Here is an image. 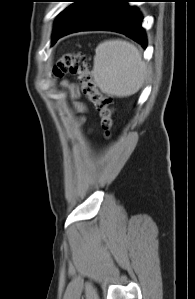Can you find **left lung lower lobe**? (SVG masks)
Segmentation results:
<instances>
[{
    "label": "left lung lower lobe",
    "mask_w": 195,
    "mask_h": 299,
    "mask_svg": "<svg viewBox=\"0 0 195 299\" xmlns=\"http://www.w3.org/2000/svg\"><path fill=\"white\" fill-rule=\"evenodd\" d=\"M134 0H88L78 16L67 26L53 34L52 44L60 37L78 31L108 30L132 38L146 48L142 16L128 3Z\"/></svg>",
    "instance_id": "0a47b994"
}]
</instances>
